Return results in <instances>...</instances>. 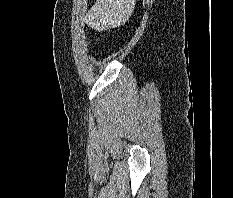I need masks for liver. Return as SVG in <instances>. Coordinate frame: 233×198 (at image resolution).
I'll return each instance as SVG.
<instances>
[{
	"mask_svg": "<svg viewBox=\"0 0 233 198\" xmlns=\"http://www.w3.org/2000/svg\"><path fill=\"white\" fill-rule=\"evenodd\" d=\"M136 0H97L85 15L87 25L105 31L125 23L131 17Z\"/></svg>",
	"mask_w": 233,
	"mask_h": 198,
	"instance_id": "1",
	"label": "liver"
}]
</instances>
